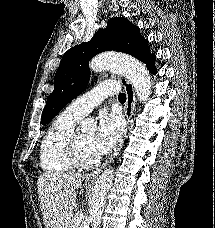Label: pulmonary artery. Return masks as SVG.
Here are the masks:
<instances>
[{"label": "pulmonary artery", "mask_w": 215, "mask_h": 228, "mask_svg": "<svg viewBox=\"0 0 215 228\" xmlns=\"http://www.w3.org/2000/svg\"><path fill=\"white\" fill-rule=\"evenodd\" d=\"M115 89H118V92L122 93V84L119 82L98 84L97 88H94L83 96L73 100L67 106V110L75 116L82 118L95 106L101 104L108 96L115 94Z\"/></svg>", "instance_id": "pulmonary-artery-1"}]
</instances>
